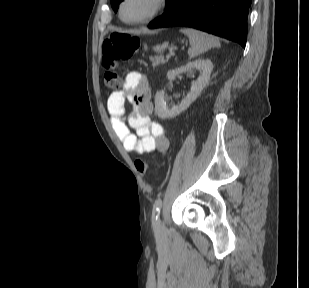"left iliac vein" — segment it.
Returning a JSON list of instances; mask_svg holds the SVG:
<instances>
[{
    "mask_svg": "<svg viewBox=\"0 0 309 288\" xmlns=\"http://www.w3.org/2000/svg\"><path fill=\"white\" fill-rule=\"evenodd\" d=\"M165 231H166L165 226H164L161 222H159V223H158V233L164 234Z\"/></svg>",
    "mask_w": 309,
    "mask_h": 288,
    "instance_id": "1",
    "label": "left iliac vein"
}]
</instances>
